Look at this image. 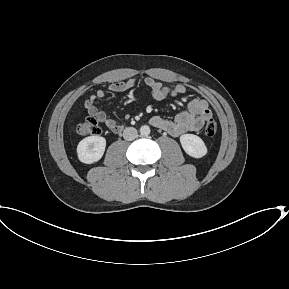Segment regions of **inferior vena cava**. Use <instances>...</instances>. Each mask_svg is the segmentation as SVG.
<instances>
[{
    "mask_svg": "<svg viewBox=\"0 0 289 289\" xmlns=\"http://www.w3.org/2000/svg\"><path fill=\"white\" fill-rule=\"evenodd\" d=\"M137 137V130L134 127H127L123 131V138L132 141Z\"/></svg>",
    "mask_w": 289,
    "mask_h": 289,
    "instance_id": "1",
    "label": "inferior vena cava"
}]
</instances>
